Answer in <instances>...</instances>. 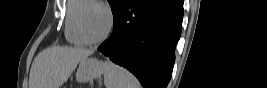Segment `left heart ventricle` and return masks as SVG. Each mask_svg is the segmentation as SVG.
Masks as SVG:
<instances>
[{"label": "left heart ventricle", "mask_w": 267, "mask_h": 88, "mask_svg": "<svg viewBox=\"0 0 267 88\" xmlns=\"http://www.w3.org/2000/svg\"><path fill=\"white\" fill-rule=\"evenodd\" d=\"M83 26L90 38L100 37L107 27L106 13L99 7H88L83 15Z\"/></svg>", "instance_id": "b2bd125f"}]
</instances>
